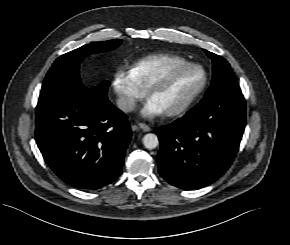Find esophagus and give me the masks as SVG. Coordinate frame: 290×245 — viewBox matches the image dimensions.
Returning a JSON list of instances; mask_svg holds the SVG:
<instances>
[{
  "instance_id": "esophagus-1",
  "label": "esophagus",
  "mask_w": 290,
  "mask_h": 245,
  "mask_svg": "<svg viewBox=\"0 0 290 245\" xmlns=\"http://www.w3.org/2000/svg\"><path fill=\"white\" fill-rule=\"evenodd\" d=\"M138 126L144 131V132H148L150 131V127L144 123H138Z\"/></svg>"
}]
</instances>
